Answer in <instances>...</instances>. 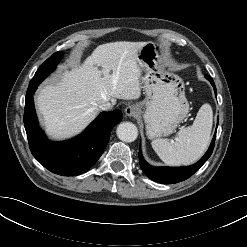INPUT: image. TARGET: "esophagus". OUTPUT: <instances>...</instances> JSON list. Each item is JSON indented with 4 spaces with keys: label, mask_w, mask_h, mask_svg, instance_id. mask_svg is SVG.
<instances>
[{
    "label": "esophagus",
    "mask_w": 247,
    "mask_h": 247,
    "mask_svg": "<svg viewBox=\"0 0 247 247\" xmlns=\"http://www.w3.org/2000/svg\"><path fill=\"white\" fill-rule=\"evenodd\" d=\"M125 114L129 117H135L139 114V108L135 105H129L125 109Z\"/></svg>",
    "instance_id": "obj_1"
}]
</instances>
